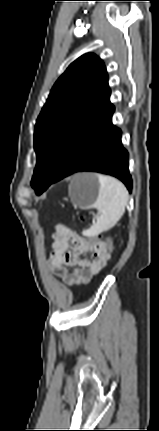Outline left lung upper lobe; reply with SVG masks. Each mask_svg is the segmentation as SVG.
<instances>
[{
  "instance_id": "left-lung-upper-lobe-1",
  "label": "left lung upper lobe",
  "mask_w": 159,
  "mask_h": 431,
  "mask_svg": "<svg viewBox=\"0 0 159 431\" xmlns=\"http://www.w3.org/2000/svg\"><path fill=\"white\" fill-rule=\"evenodd\" d=\"M110 94L105 65L91 53L71 63L56 81L35 125L37 165L31 185L36 193L51 184L77 133L112 105Z\"/></svg>"
}]
</instances>
